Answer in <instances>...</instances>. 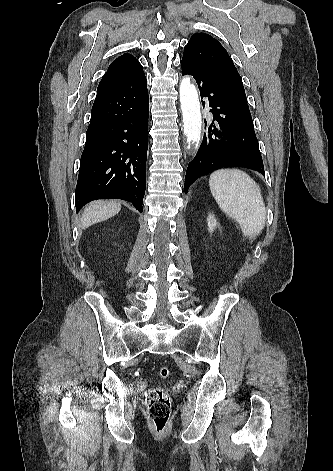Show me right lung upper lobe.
<instances>
[{"instance_id": "obj_1", "label": "right lung upper lobe", "mask_w": 333, "mask_h": 471, "mask_svg": "<svg viewBox=\"0 0 333 471\" xmlns=\"http://www.w3.org/2000/svg\"><path fill=\"white\" fill-rule=\"evenodd\" d=\"M143 73L142 65L131 54H123L109 66L98 85L97 95L127 86Z\"/></svg>"}]
</instances>
